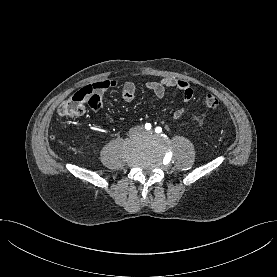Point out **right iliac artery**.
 Returning a JSON list of instances; mask_svg holds the SVG:
<instances>
[{"instance_id": "1", "label": "right iliac artery", "mask_w": 277, "mask_h": 277, "mask_svg": "<svg viewBox=\"0 0 277 277\" xmlns=\"http://www.w3.org/2000/svg\"><path fill=\"white\" fill-rule=\"evenodd\" d=\"M151 127H152V126H151V124H150V123H146V124H145V129H146V130H150V129H151Z\"/></svg>"}]
</instances>
